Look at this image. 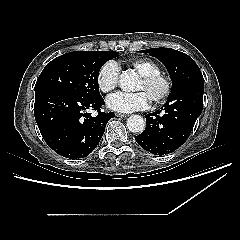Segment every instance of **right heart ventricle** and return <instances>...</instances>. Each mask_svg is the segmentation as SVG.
<instances>
[{
	"instance_id": "1",
	"label": "right heart ventricle",
	"mask_w": 240,
	"mask_h": 240,
	"mask_svg": "<svg viewBox=\"0 0 240 240\" xmlns=\"http://www.w3.org/2000/svg\"><path fill=\"white\" fill-rule=\"evenodd\" d=\"M128 64L133 67V69L139 75H145L148 73L159 72L158 67L154 62L146 58H132L128 60Z\"/></svg>"
}]
</instances>
